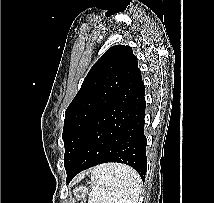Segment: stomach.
<instances>
[{
  "label": "stomach",
  "instance_id": "1",
  "mask_svg": "<svg viewBox=\"0 0 214 203\" xmlns=\"http://www.w3.org/2000/svg\"><path fill=\"white\" fill-rule=\"evenodd\" d=\"M73 202L85 203L89 190L86 186H79L73 189Z\"/></svg>",
  "mask_w": 214,
  "mask_h": 203
}]
</instances>
